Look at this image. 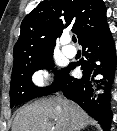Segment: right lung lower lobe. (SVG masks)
Returning <instances> with one entry per match:
<instances>
[{"mask_svg": "<svg viewBox=\"0 0 117 131\" xmlns=\"http://www.w3.org/2000/svg\"><path fill=\"white\" fill-rule=\"evenodd\" d=\"M82 45L83 56L76 63H71L65 69L62 86L58 91H63L64 95L79 104L90 116L94 117L104 128L110 129L112 115L109 110L108 90L114 75L116 65L115 47L108 27L96 35L85 39ZM100 61L97 65L95 62ZM80 66L83 76L80 79L71 77L69 71ZM103 74L109 80L104 82L105 93L95 95L94 91L100 88L99 83L103 80H95L94 77ZM107 75V77H106Z\"/></svg>", "mask_w": 117, "mask_h": 131, "instance_id": "98d812e1", "label": "right lung lower lobe"}]
</instances>
